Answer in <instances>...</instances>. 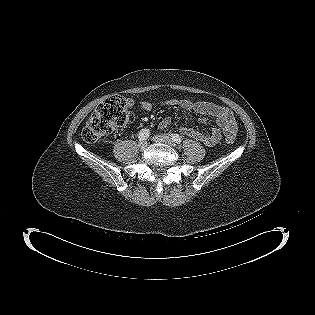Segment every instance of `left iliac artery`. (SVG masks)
I'll use <instances>...</instances> for the list:
<instances>
[{"label": "left iliac artery", "mask_w": 315, "mask_h": 315, "mask_svg": "<svg viewBox=\"0 0 315 315\" xmlns=\"http://www.w3.org/2000/svg\"><path fill=\"white\" fill-rule=\"evenodd\" d=\"M171 137H172V140L178 144H180L182 141L181 137L178 134H172Z\"/></svg>", "instance_id": "1"}]
</instances>
